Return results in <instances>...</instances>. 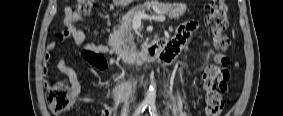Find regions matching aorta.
<instances>
[{
  "instance_id": "aorta-1",
  "label": "aorta",
  "mask_w": 283,
  "mask_h": 116,
  "mask_svg": "<svg viewBox=\"0 0 283 116\" xmlns=\"http://www.w3.org/2000/svg\"><path fill=\"white\" fill-rule=\"evenodd\" d=\"M145 100L148 103H154L156 100V82L154 80V78H152L151 82H150V86L148 89V92L146 94Z\"/></svg>"
}]
</instances>
